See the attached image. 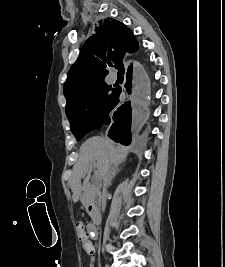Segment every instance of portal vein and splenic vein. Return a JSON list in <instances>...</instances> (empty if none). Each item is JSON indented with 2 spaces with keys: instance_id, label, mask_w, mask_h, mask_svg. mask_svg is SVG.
I'll return each instance as SVG.
<instances>
[{
  "instance_id": "portal-vein-and-splenic-vein-1",
  "label": "portal vein and splenic vein",
  "mask_w": 225,
  "mask_h": 267,
  "mask_svg": "<svg viewBox=\"0 0 225 267\" xmlns=\"http://www.w3.org/2000/svg\"><path fill=\"white\" fill-rule=\"evenodd\" d=\"M95 176H97V172H95ZM97 178V177H96Z\"/></svg>"
}]
</instances>
